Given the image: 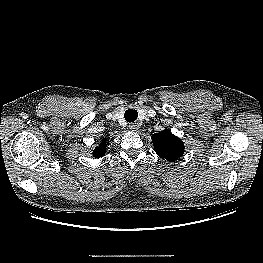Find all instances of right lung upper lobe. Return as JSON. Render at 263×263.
<instances>
[{"label":"right lung upper lobe","instance_id":"1","mask_svg":"<svg viewBox=\"0 0 263 263\" xmlns=\"http://www.w3.org/2000/svg\"><path fill=\"white\" fill-rule=\"evenodd\" d=\"M106 152V142L103 141L102 144L99 145V147H96V149L93 152L94 157L99 158L104 156V153Z\"/></svg>","mask_w":263,"mask_h":263}]
</instances>
